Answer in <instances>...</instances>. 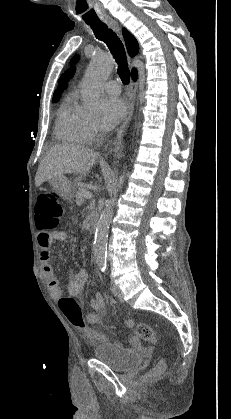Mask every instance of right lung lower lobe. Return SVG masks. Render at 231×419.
<instances>
[{
	"instance_id": "1",
	"label": "right lung lower lobe",
	"mask_w": 231,
	"mask_h": 419,
	"mask_svg": "<svg viewBox=\"0 0 231 419\" xmlns=\"http://www.w3.org/2000/svg\"><path fill=\"white\" fill-rule=\"evenodd\" d=\"M132 76H133V79L136 80V78H137V71H136V69H133L132 70Z\"/></svg>"
}]
</instances>
